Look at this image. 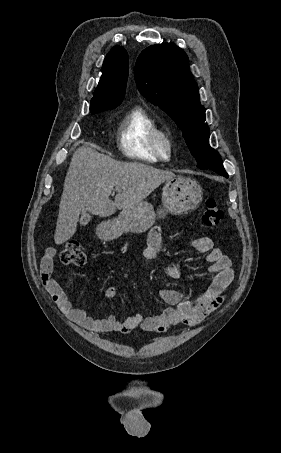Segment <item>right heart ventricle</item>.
Here are the masks:
<instances>
[{"label":"right heart ventricle","instance_id":"1","mask_svg":"<svg viewBox=\"0 0 281 453\" xmlns=\"http://www.w3.org/2000/svg\"><path fill=\"white\" fill-rule=\"evenodd\" d=\"M161 130L156 120L143 108L129 109L118 129L119 149L128 157L146 162L160 160L152 143L154 134Z\"/></svg>","mask_w":281,"mask_h":453}]
</instances>
